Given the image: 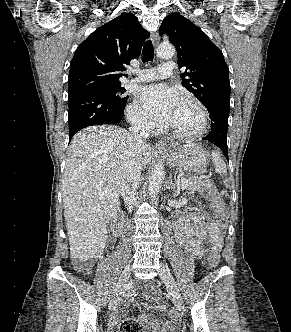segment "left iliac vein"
I'll return each instance as SVG.
<instances>
[{
    "instance_id": "obj_1",
    "label": "left iliac vein",
    "mask_w": 291,
    "mask_h": 332,
    "mask_svg": "<svg viewBox=\"0 0 291 332\" xmlns=\"http://www.w3.org/2000/svg\"><path fill=\"white\" fill-rule=\"evenodd\" d=\"M160 278L165 283L169 293L171 294L174 303L180 311H184V301L179 291V288L176 284L175 279L172 274L168 270V268L164 265H161V271L159 273Z\"/></svg>"
}]
</instances>
